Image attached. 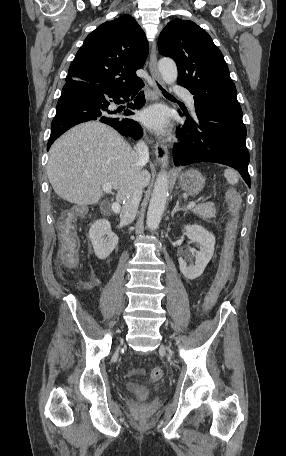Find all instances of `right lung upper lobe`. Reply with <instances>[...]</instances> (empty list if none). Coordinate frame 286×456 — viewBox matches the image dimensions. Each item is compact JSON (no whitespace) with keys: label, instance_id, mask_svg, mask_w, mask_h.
Here are the masks:
<instances>
[{"label":"right lung upper lobe","instance_id":"right-lung-upper-lobe-1","mask_svg":"<svg viewBox=\"0 0 286 456\" xmlns=\"http://www.w3.org/2000/svg\"><path fill=\"white\" fill-rule=\"evenodd\" d=\"M148 54L145 34L130 15L101 24L85 39L66 81L88 83L104 92L130 90L141 82L136 70Z\"/></svg>","mask_w":286,"mask_h":456}]
</instances>
